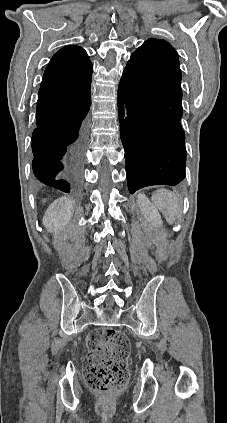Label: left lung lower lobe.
<instances>
[{
    "mask_svg": "<svg viewBox=\"0 0 227 423\" xmlns=\"http://www.w3.org/2000/svg\"><path fill=\"white\" fill-rule=\"evenodd\" d=\"M118 107L129 192L181 182L186 164L185 134L180 123L183 111L164 110L156 104L150 88L125 77L119 83Z\"/></svg>",
    "mask_w": 227,
    "mask_h": 423,
    "instance_id": "0a47b994",
    "label": "left lung lower lobe"
}]
</instances>
